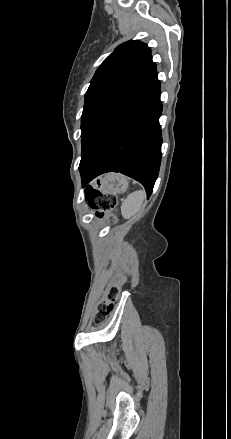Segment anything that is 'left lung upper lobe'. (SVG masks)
<instances>
[{"instance_id":"1","label":"left lung upper lobe","mask_w":231,"mask_h":439,"mask_svg":"<svg viewBox=\"0 0 231 439\" xmlns=\"http://www.w3.org/2000/svg\"><path fill=\"white\" fill-rule=\"evenodd\" d=\"M155 71L156 65L146 44L131 40L115 48L95 72L85 94L81 137Z\"/></svg>"}]
</instances>
